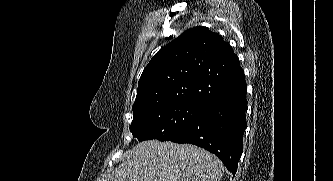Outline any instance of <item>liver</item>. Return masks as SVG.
<instances>
[{"label": "liver", "mask_w": 333, "mask_h": 181, "mask_svg": "<svg viewBox=\"0 0 333 181\" xmlns=\"http://www.w3.org/2000/svg\"><path fill=\"white\" fill-rule=\"evenodd\" d=\"M125 157L105 181H220L224 172L215 155L192 144L148 140Z\"/></svg>", "instance_id": "1"}]
</instances>
